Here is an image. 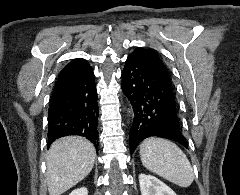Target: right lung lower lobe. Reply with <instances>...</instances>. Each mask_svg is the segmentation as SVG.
Returning <instances> with one entry per match:
<instances>
[{
  "instance_id": "right-lung-lower-lobe-1",
  "label": "right lung lower lobe",
  "mask_w": 240,
  "mask_h": 195,
  "mask_svg": "<svg viewBox=\"0 0 240 195\" xmlns=\"http://www.w3.org/2000/svg\"><path fill=\"white\" fill-rule=\"evenodd\" d=\"M92 69L69 79H57L48 110V147L68 135H79L98 146V103Z\"/></svg>"
}]
</instances>
